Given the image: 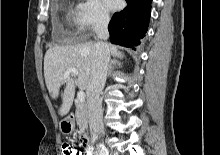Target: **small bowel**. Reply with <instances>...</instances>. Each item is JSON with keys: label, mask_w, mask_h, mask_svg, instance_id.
<instances>
[{"label": "small bowel", "mask_w": 220, "mask_h": 155, "mask_svg": "<svg viewBox=\"0 0 220 155\" xmlns=\"http://www.w3.org/2000/svg\"><path fill=\"white\" fill-rule=\"evenodd\" d=\"M77 141H76V144L77 145H86L87 144V141H86V136H77ZM73 142L71 140H66L65 141V144L66 145H71Z\"/></svg>", "instance_id": "c3829d8e"}]
</instances>
